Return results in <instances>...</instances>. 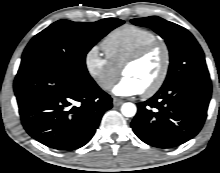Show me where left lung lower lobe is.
Instances as JSON below:
<instances>
[{
    "mask_svg": "<svg viewBox=\"0 0 220 173\" xmlns=\"http://www.w3.org/2000/svg\"><path fill=\"white\" fill-rule=\"evenodd\" d=\"M210 79L186 80L161 87L149 100L138 103L131 127L146 144L177 147L201 130L211 98Z\"/></svg>",
    "mask_w": 220,
    "mask_h": 173,
    "instance_id": "0a47b994",
    "label": "left lung lower lobe"
}]
</instances>
